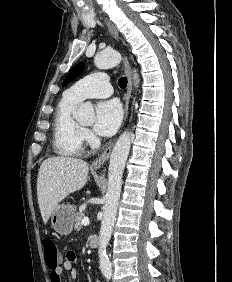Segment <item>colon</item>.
Instances as JSON below:
<instances>
[{
	"label": "colon",
	"instance_id": "1",
	"mask_svg": "<svg viewBox=\"0 0 232 282\" xmlns=\"http://www.w3.org/2000/svg\"><path fill=\"white\" fill-rule=\"evenodd\" d=\"M43 252L47 267L54 271L61 261V257L55 242L50 238L43 240Z\"/></svg>",
	"mask_w": 232,
	"mask_h": 282
}]
</instances>
